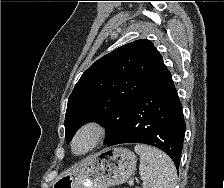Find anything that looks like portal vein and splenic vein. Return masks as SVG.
<instances>
[{
  "instance_id": "obj_1",
  "label": "portal vein and splenic vein",
  "mask_w": 224,
  "mask_h": 188,
  "mask_svg": "<svg viewBox=\"0 0 224 188\" xmlns=\"http://www.w3.org/2000/svg\"><path fill=\"white\" fill-rule=\"evenodd\" d=\"M129 185H133V181H129Z\"/></svg>"
}]
</instances>
